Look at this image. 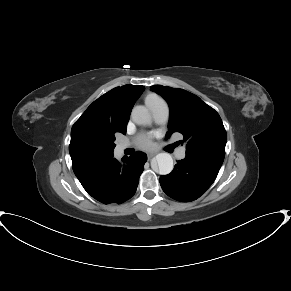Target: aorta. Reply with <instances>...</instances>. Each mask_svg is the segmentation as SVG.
<instances>
[{
  "label": "aorta",
  "instance_id": "obj_1",
  "mask_svg": "<svg viewBox=\"0 0 291 291\" xmlns=\"http://www.w3.org/2000/svg\"><path fill=\"white\" fill-rule=\"evenodd\" d=\"M132 119L138 125H147L151 123V115L148 109L144 106H136L132 110ZM158 166V171L162 175H167L172 172L173 158L169 153H159L155 157Z\"/></svg>",
  "mask_w": 291,
  "mask_h": 291
}]
</instances>
